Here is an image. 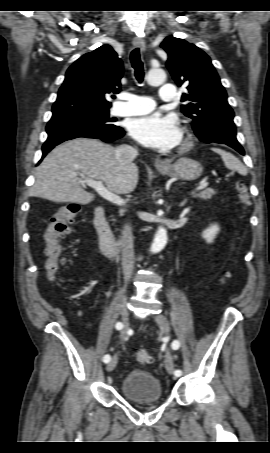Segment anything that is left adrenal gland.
I'll return each instance as SVG.
<instances>
[{"label":"left adrenal gland","mask_w":270,"mask_h":453,"mask_svg":"<svg viewBox=\"0 0 270 453\" xmlns=\"http://www.w3.org/2000/svg\"><path fill=\"white\" fill-rule=\"evenodd\" d=\"M186 203H187V200L185 199L184 201H182V202L180 203L179 206H180V207H183Z\"/></svg>","instance_id":"a2214340"}]
</instances>
